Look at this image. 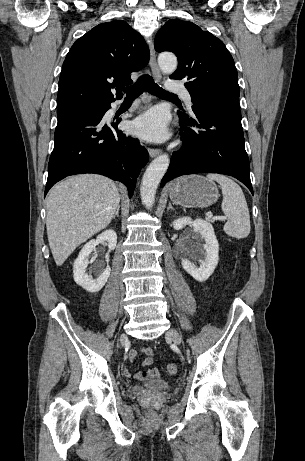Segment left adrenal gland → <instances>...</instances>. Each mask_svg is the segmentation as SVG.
I'll use <instances>...</instances> for the list:
<instances>
[{
  "instance_id": "obj_1",
  "label": "left adrenal gland",
  "mask_w": 305,
  "mask_h": 461,
  "mask_svg": "<svg viewBox=\"0 0 305 461\" xmlns=\"http://www.w3.org/2000/svg\"><path fill=\"white\" fill-rule=\"evenodd\" d=\"M167 210H175L170 202H169V206H168Z\"/></svg>"
}]
</instances>
